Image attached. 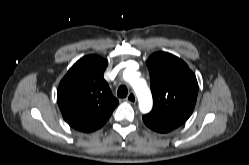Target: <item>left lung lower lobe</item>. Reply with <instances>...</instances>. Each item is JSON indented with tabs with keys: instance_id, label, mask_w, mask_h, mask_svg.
Masks as SVG:
<instances>
[{
	"instance_id": "1",
	"label": "left lung lower lobe",
	"mask_w": 249,
	"mask_h": 165,
	"mask_svg": "<svg viewBox=\"0 0 249 165\" xmlns=\"http://www.w3.org/2000/svg\"><path fill=\"white\" fill-rule=\"evenodd\" d=\"M143 121L150 129L160 133H167L178 127L173 124L150 119L146 116H143Z\"/></svg>"
}]
</instances>
